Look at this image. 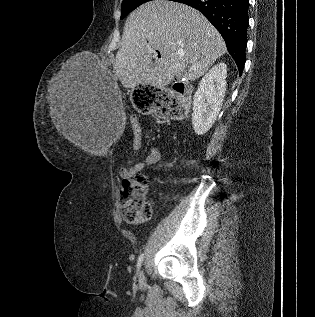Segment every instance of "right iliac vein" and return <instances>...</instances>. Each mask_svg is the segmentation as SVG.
Wrapping results in <instances>:
<instances>
[{"label": "right iliac vein", "mask_w": 315, "mask_h": 317, "mask_svg": "<svg viewBox=\"0 0 315 317\" xmlns=\"http://www.w3.org/2000/svg\"><path fill=\"white\" fill-rule=\"evenodd\" d=\"M138 280H139L140 284H144L145 283V275H144L143 271L140 272Z\"/></svg>", "instance_id": "1"}]
</instances>
